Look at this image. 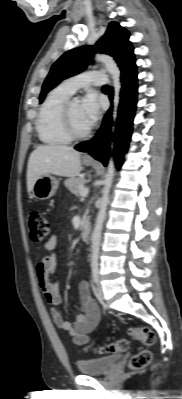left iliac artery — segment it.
<instances>
[{"label": "left iliac artery", "instance_id": "obj_1", "mask_svg": "<svg viewBox=\"0 0 182 399\" xmlns=\"http://www.w3.org/2000/svg\"><path fill=\"white\" fill-rule=\"evenodd\" d=\"M98 278H99V270L98 268H93L92 269V279L94 283L98 282Z\"/></svg>", "mask_w": 182, "mask_h": 399}]
</instances>
